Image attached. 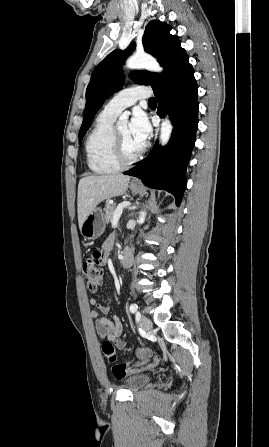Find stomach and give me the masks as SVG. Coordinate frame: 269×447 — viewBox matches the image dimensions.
<instances>
[{
  "instance_id": "0dacf381",
  "label": "stomach",
  "mask_w": 269,
  "mask_h": 447,
  "mask_svg": "<svg viewBox=\"0 0 269 447\" xmlns=\"http://www.w3.org/2000/svg\"><path fill=\"white\" fill-rule=\"evenodd\" d=\"M129 188L132 190L133 194H138L140 190L138 184L137 186H129ZM105 227L106 220L101 208H94L91 214L84 220L82 227H80V231L86 239H96V237H99V235L103 233Z\"/></svg>"
}]
</instances>
